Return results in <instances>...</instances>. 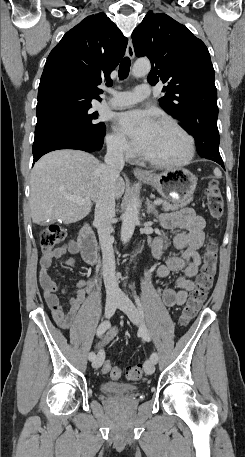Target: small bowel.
I'll list each match as a JSON object with an SVG mask.
<instances>
[{
    "label": "small bowel",
    "mask_w": 245,
    "mask_h": 457,
    "mask_svg": "<svg viewBox=\"0 0 245 457\" xmlns=\"http://www.w3.org/2000/svg\"><path fill=\"white\" fill-rule=\"evenodd\" d=\"M161 226L166 230L180 231L174 236L173 244L176 249L182 250L181 256H171L165 263L156 268L158 277H167L171 272L182 271L183 274L175 279L176 289L167 287L163 290L162 299L167 307L183 305L188 293L194 289L192 279L197 275L200 266L198 249L203 245L205 239V219L198 215L194 209L186 208L180 211L162 214L160 216ZM162 241L156 239L153 253L156 257L161 254ZM80 250L78 241L70 240L66 244L56 248L52 252L45 253L40 260L39 281L43 290L44 299L52 312L56 323L69 331L70 340L73 345L81 350H88L91 347V338L84 328L74 323L80 304L85 300L86 294L94 289V283L87 280H77L75 283L74 296L70 298L65 309L57 296L58 286L49 273L53 260L70 254L64 261L65 266L74 268L77 266L76 258L73 256ZM118 329L113 328L97 344V348L103 347L117 334Z\"/></svg>",
    "instance_id": "small-bowel-1"
}]
</instances>
